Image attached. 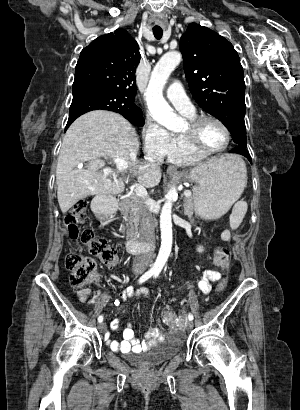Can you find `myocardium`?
<instances>
[{
  "label": "myocardium",
  "mask_w": 300,
  "mask_h": 410,
  "mask_svg": "<svg viewBox=\"0 0 300 410\" xmlns=\"http://www.w3.org/2000/svg\"><path fill=\"white\" fill-rule=\"evenodd\" d=\"M208 121L215 122L225 132L226 142L223 145V147L219 149H215V150L204 149L200 142V138H199L200 127L202 126L203 123L208 122ZM182 135L185 138L190 149L193 152L203 157L215 155V154L225 151L230 145L231 138H232L231 132L228 126L221 119L215 116H211V115H199V116H194L193 118H191L188 122L186 130L183 132Z\"/></svg>",
  "instance_id": "myocardium-1"
}]
</instances>
